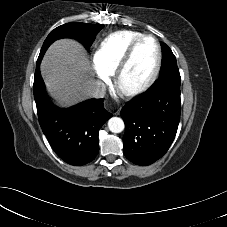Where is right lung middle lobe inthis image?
<instances>
[{"instance_id": "obj_1", "label": "right lung middle lobe", "mask_w": 227, "mask_h": 227, "mask_svg": "<svg viewBox=\"0 0 227 227\" xmlns=\"http://www.w3.org/2000/svg\"><path fill=\"white\" fill-rule=\"evenodd\" d=\"M104 27L102 24H86L71 22L55 28L46 38L41 48L39 59L41 60L47 48L61 38H73L89 48L98 32Z\"/></svg>"}]
</instances>
